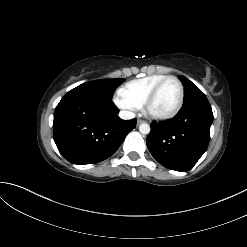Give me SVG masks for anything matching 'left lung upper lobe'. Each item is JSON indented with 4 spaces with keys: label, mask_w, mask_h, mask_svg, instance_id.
<instances>
[{
    "label": "left lung upper lobe",
    "mask_w": 247,
    "mask_h": 247,
    "mask_svg": "<svg viewBox=\"0 0 247 247\" xmlns=\"http://www.w3.org/2000/svg\"><path fill=\"white\" fill-rule=\"evenodd\" d=\"M180 80L184 85L183 105L191 102L194 99L205 97L204 93L189 79H187L184 76H181Z\"/></svg>",
    "instance_id": "1"
}]
</instances>
